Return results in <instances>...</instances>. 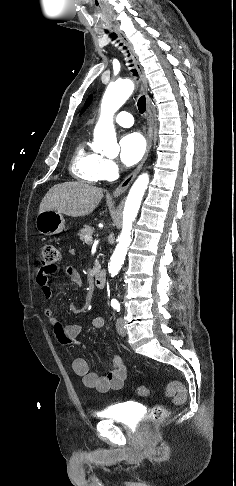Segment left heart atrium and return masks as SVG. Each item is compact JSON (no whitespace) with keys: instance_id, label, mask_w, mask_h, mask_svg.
<instances>
[{"instance_id":"1","label":"left heart atrium","mask_w":236,"mask_h":486,"mask_svg":"<svg viewBox=\"0 0 236 486\" xmlns=\"http://www.w3.org/2000/svg\"><path fill=\"white\" fill-rule=\"evenodd\" d=\"M120 159L126 166L137 163L144 155L146 143L144 138L137 132L124 135L120 142Z\"/></svg>"}]
</instances>
